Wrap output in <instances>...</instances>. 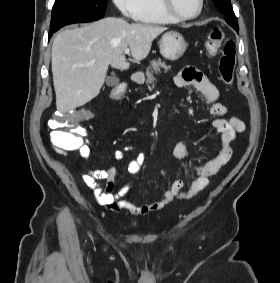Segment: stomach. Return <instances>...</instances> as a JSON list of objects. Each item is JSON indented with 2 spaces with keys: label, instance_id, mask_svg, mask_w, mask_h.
<instances>
[{
  "label": "stomach",
  "instance_id": "1",
  "mask_svg": "<svg viewBox=\"0 0 280 283\" xmlns=\"http://www.w3.org/2000/svg\"><path fill=\"white\" fill-rule=\"evenodd\" d=\"M161 55L170 61L178 60L186 51L187 43L181 33L166 32L159 42Z\"/></svg>",
  "mask_w": 280,
  "mask_h": 283
}]
</instances>
